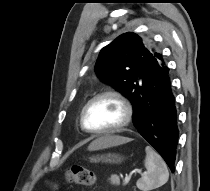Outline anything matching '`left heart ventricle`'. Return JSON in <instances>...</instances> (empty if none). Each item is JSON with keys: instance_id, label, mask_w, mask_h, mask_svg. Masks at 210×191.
<instances>
[{"instance_id": "1", "label": "left heart ventricle", "mask_w": 210, "mask_h": 191, "mask_svg": "<svg viewBox=\"0 0 210 191\" xmlns=\"http://www.w3.org/2000/svg\"><path fill=\"white\" fill-rule=\"evenodd\" d=\"M124 117L122 105L114 98L105 97L94 102L86 113V125L90 129L111 128Z\"/></svg>"}]
</instances>
